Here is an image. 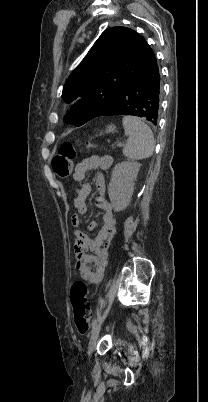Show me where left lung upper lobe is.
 Instances as JSON below:
<instances>
[{
    "mask_svg": "<svg viewBox=\"0 0 208 402\" xmlns=\"http://www.w3.org/2000/svg\"><path fill=\"white\" fill-rule=\"evenodd\" d=\"M132 32L126 27L105 30L66 80L61 97L68 103L83 99L70 120L76 126L98 117L136 70L139 43Z\"/></svg>",
    "mask_w": 208,
    "mask_h": 402,
    "instance_id": "5c2ea615",
    "label": "left lung upper lobe"
}]
</instances>
